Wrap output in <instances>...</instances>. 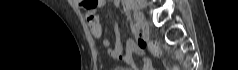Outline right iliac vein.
Masks as SVG:
<instances>
[{
    "instance_id": "1",
    "label": "right iliac vein",
    "mask_w": 238,
    "mask_h": 70,
    "mask_svg": "<svg viewBox=\"0 0 238 70\" xmlns=\"http://www.w3.org/2000/svg\"><path fill=\"white\" fill-rule=\"evenodd\" d=\"M134 18H135L137 24L141 28H144L146 26L147 23H146L145 17H144V15L141 12L135 11Z\"/></svg>"
}]
</instances>
